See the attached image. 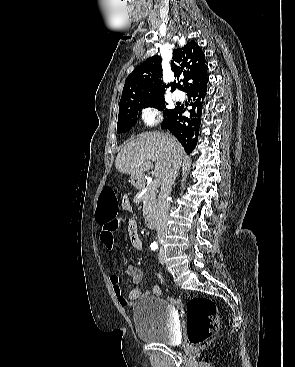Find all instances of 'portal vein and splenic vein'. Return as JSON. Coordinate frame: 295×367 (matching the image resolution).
I'll return each mask as SVG.
<instances>
[{"label": "portal vein and splenic vein", "instance_id": "portal-vein-and-splenic-vein-1", "mask_svg": "<svg viewBox=\"0 0 295 367\" xmlns=\"http://www.w3.org/2000/svg\"><path fill=\"white\" fill-rule=\"evenodd\" d=\"M152 184H153L154 187H158L160 185V179L159 178L154 179Z\"/></svg>", "mask_w": 295, "mask_h": 367}]
</instances>
